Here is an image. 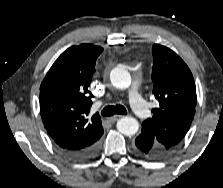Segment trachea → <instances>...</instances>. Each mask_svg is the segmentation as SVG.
I'll use <instances>...</instances> for the list:
<instances>
[{"mask_svg":"<svg viewBox=\"0 0 223 188\" xmlns=\"http://www.w3.org/2000/svg\"><path fill=\"white\" fill-rule=\"evenodd\" d=\"M101 114L103 116H112L115 114H119V115H126L127 114V110L123 105H116V106H106L102 111Z\"/></svg>","mask_w":223,"mask_h":188,"instance_id":"1","label":"trachea"}]
</instances>
